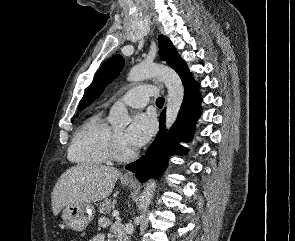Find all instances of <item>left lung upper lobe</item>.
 <instances>
[{"label":"left lung upper lobe","instance_id":"obj_1","mask_svg":"<svg viewBox=\"0 0 295 241\" xmlns=\"http://www.w3.org/2000/svg\"><path fill=\"white\" fill-rule=\"evenodd\" d=\"M159 48L160 58L166 61L179 74L182 82L191 76L186 63L178 55L172 42L164 35L159 36ZM123 64V57L114 55L102 65L80 101L79 106L81 110L101 95L105 87L119 74Z\"/></svg>","mask_w":295,"mask_h":241}]
</instances>
